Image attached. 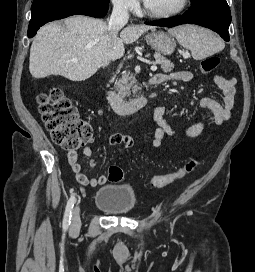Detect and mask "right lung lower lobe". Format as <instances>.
Instances as JSON below:
<instances>
[{
    "instance_id": "obj_1",
    "label": "right lung lower lobe",
    "mask_w": 255,
    "mask_h": 272,
    "mask_svg": "<svg viewBox=\"0 0 255 272\" xmlns=\"http://www.w3.org/2000/svg\"><path fill=\"white\" fill-rule=\"evenodd\" d=\"M108 3L98 0H34L31 7V20L28 37H33L44 24L71 15H87L95 18L104 17Z\"/></svg>"
}]
</instances>
